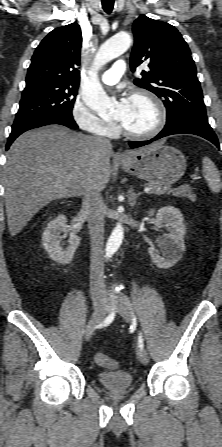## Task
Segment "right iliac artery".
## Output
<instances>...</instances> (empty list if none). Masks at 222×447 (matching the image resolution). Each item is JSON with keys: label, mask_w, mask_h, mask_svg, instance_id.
Wrapping results in <instances>:
<instances>
[{"label": "right iliac artery", "mask_w": 222, "mask_h": 447, "mask_svg": "<svg viewBox=\"0 0 222 447\" xmlns=\"http://www.w3.org/2000/svg\"><path fill=\"white\" fill-rule=\"evenodd\" d=\"M114 316H115V311H114V309H112V312H111V313L109 314V316L106 318L105 323H106V324H109L110 322H112L113 319H114ZM99 326H102V324L99 325Z\"/></svg>", "instance_id": "obj_1"}]
</instances>
